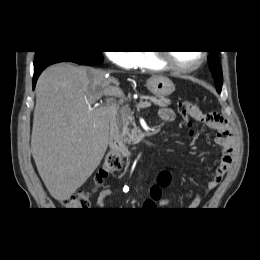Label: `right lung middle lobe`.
<instances>
[{"label":"right lung middle lobe","instance_id":"dd1d6c3e","mask_svg":"<svg viewBox=\"0 0 260 260\" xmlns=\"http://www.w3.org/2000/svg\"><path fill=\"white\" fill-rule=\"evenodd\" d=\"M49 53H50V52L36 51L34 62H37V61L41 60L43 57H45V56L48 55ZM97 53H101V51H97Z\"/></svg>","mask_w":260,"mask_h":260}]
</instances>
